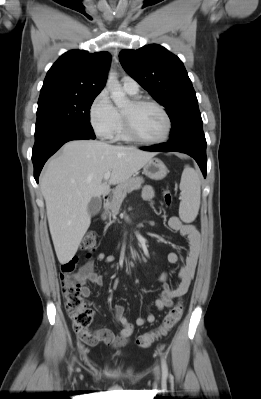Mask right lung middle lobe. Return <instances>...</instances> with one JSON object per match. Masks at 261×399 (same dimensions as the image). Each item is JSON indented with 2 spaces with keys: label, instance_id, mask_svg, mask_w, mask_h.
Segmentation results:
<instances>
[{
  "label": "right lung middle lobe",
  "instance_id": "1",
  "mask_svg": "<svg viewBox=\"0 0 261 399\" xmlns=\"http://www.w3.org/2000/svg\"><path fill=\"white\" fill-rule=\"evenodd\" d=\"M96 96L64 94L40 96L35 132L59 124L93 131L90 124L89 109Z\"/></svg>",
  "mask_w": 261,
  "mask_h": 399
}]
</instances>
